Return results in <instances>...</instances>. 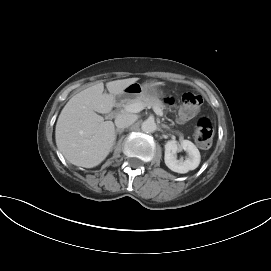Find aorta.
<instances>
[{"instance_id":"obj_1","label":"aorta","mask_w":271,"mask_h":271,"mask_svg":"<svg viewBox=\"0 0 271 271\" xmlns=\"http://www.w3.org/2000/svg\"><path fill=\"white\" fill-rule=\"evenodd\" d=\"M141 129L145 133H153L156 130V123L154 120L147 119L141 124Z\"/></svg>"}]
</instances>
